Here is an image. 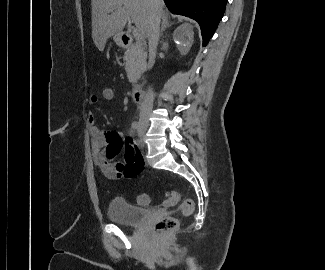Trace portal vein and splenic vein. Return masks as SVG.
Masks as SVG:
<instances>
[{"instance_id":"18ae733b","label":"portal vein and splenic vein","mask_w":325,"mask_h":270,"mask_svg":"<svg viewBox=\"0 0 325 270\" xmlns=\"http://www.w3.org/2000/svg\"><path fill=\"white\" fill-rule=\"evenodd\" d=\"M113 9H110L109 11H112ZM127 17L129 18L130 15L127 13ZM132 31H133V36L136 39L137 42H142L143 41V35L140 32V30L138 28L132 27Z\"/></svg>"}]
</instances>
